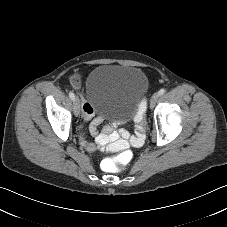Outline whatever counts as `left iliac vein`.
<instances>
[{
  "label": "left iliac vein",
  "mask_w": 227,
  "mask_h": 227,
  "mask_svg": "<svg viewBox=\"0 0 227 227\" xmlns=\"http://www.w3.org/2000/svg\"><path fill=\"white\" fill-rule=\"evenodd\" d=\"M160 95L159 93H155L152 97H151V100H150V107L153 108L156 104V102L158 101Z\"/></svg>",
  "instance_id": "1"
}]
</instances>
